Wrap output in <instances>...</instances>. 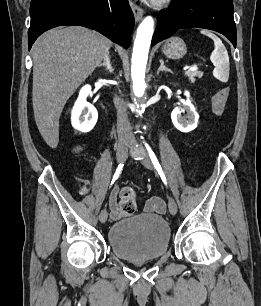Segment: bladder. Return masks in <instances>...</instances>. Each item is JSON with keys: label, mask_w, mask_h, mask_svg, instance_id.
Segmentation results:
<instances>
[{"label": "bladder", "mask_w": 261, "mask_h": 306, "mask_svg": "<svg viewBox=\"0 0 261 306\" xmlns=\"http://www.w3.org/2000/svg\"><path fill=\"white\" fill-rule=\"evenodd\" d=\"M171 230L160 215L142 213L115 222L108 231L111 251L120 259L138 261L164 255L170 245Z\"/></svg>", "instance_id": "31cf9c89"}]
</instances>
